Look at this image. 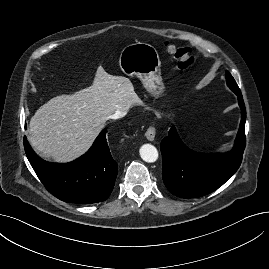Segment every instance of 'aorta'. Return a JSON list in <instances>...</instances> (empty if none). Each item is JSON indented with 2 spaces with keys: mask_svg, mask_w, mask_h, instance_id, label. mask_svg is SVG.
Segmentation results:
<instances>
[{
  "mask_svg": "<svg viewBox=\"0 0 269 269\" xmlns=\"http://www.w3.org/2000/svg\"><path fill=\"white\" fill-rule=\"evenodd\" d=\"M141 158L148 163H153L158 159V151L155 146L151 144H144L139 150Z\"/></svg>",
  "mask_w": 269,
  "mask_h": 269,
  "instance_id": "obj_1",
  "label": "aorta"
}]
</instances>
